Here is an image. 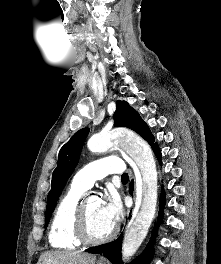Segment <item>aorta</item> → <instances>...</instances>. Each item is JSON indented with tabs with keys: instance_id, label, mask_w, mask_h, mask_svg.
<instances>
[{
	"instance_id": "1",
	"label": "aorta",
	"mask_w": 221,
	"mask_h": 264,
	"mask_svg": "<svg viewBox=\"0 0 221 264\" xmlns=\"http://www.w3.org/2000/svg\"><path fill=\"white\" fill-rule=\"evenodd\" d=\"M113 138L112 134L100 133L89 140L88 146L98 151L107 150L113 145ZM115 142L122 146L140 171L137 196L141 204L128 225L122 245V259L128 262L144 241L155 215L157 170L152 150L144 140L134 135L119 134Z\"/></svg>"
}]
</instances>
